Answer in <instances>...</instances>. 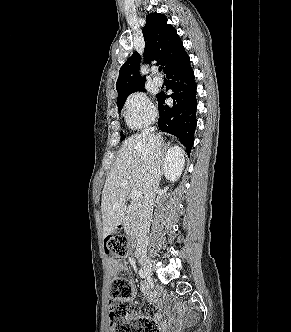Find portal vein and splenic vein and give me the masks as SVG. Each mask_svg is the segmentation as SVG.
I'll use <instances>...</instances> for the list:
<instances>
[{
	"label": "portal vein and splenic vein",
	"mask_w": 291,
	"mask_h": 332,
	"mask_svg": "<svg viewBox=\"0 0 291 332\" xmlns=\"http://www.w3.org/2000/svg\"><path fill=\"white\" fill-rule=\"evenodd\" d=\"M127 185H128L127 181H123L121 184L122 187H126ZM130 197L133 201H138L142 197V194L138 190H132L130 193Z\"/></svg>",
	"instance_id": "obj_1"
}]
</instances>
